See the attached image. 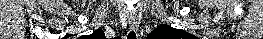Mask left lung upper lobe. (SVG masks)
I'll use <instances>...</instances> for the list:
<instances>
[{
	"instance_id": "5c2ea615",
	"label": "left lung upper lobe",
	"mask_w": 263,
	"mask_h": 39,
	"mask_svg": "<svg viewBox=\"0 0 263 39\" xmlns=\"http://www.w3.org/2000/svg\"><path fill=\"white\" fill-rule=\"evenodd\" d=\"M148 39H196L194 35L190 33L180 30L174 29L169 25H160L153 32H151L148 36Z\"/></svg>"
}]
</instances>
